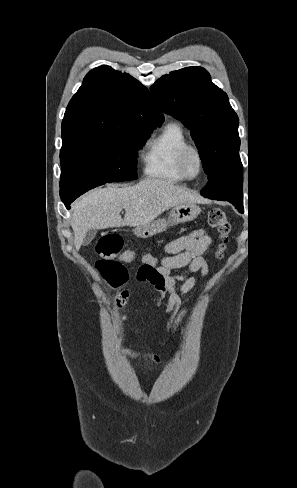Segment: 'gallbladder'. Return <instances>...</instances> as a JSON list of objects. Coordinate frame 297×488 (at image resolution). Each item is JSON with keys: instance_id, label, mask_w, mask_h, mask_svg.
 Returning <instances> with one entry per match:
<instances>
[{"instance_id": "bac80fb5", "label": "gallbladder", "mask_w": 297, "mask_h": 488, "mask_svg": "<svg viewBox=\"0 0 297 488\" xmlns=\"http://www.w3.org/2000/svg\"><path fill=\"white\" fill-rule=\"evenodd\" d=\"M96 233H97L96 229L94 228L89 229L84 238L83 245H88L96 236Z\"/></svg>"}]
</instances>
